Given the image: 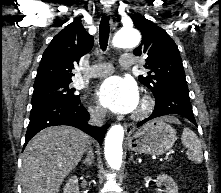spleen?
Returning a JSON list of instances; mask_svg holds the SVG:
<instances>
[{
  "mask_svg": "<svg viewBox=\"0 0 221 193\" xmlns=\"http://www.w3.org/2000/svg\"><path fill=\"white\" fill-rule=\"evenodd\" d=\"M182 144L188 148L187 156L195 163H201L203 160V153L201 142L197 135L189 128H184L181 136Z\"/></svg>",
  "mask_w": 221,
  "mask_h": 193,
  "instance_id": "obj_1",
  "label": "spleen"
}]
</instances>
